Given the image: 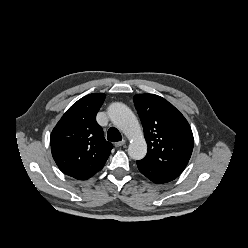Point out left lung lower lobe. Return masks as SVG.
Returning <instances> with one entry per match:
<instances>
[{
    "instance_id": "0a47b994",
    "label": "left lung lower lobe",
    "mask_w": 248,
    "mask_h": 248,
    "mask_svg": "<svg viewBox=\"0 0 248 248\" xmlns=\"http://www.w3.org/2000/svg\"><path fill=\"white\" fill-rule=\"evenodd\" d=\"M139 171L152 182L162 184L177 178L180 173L153 166L143 160L137 161Z\"/></svg>"
}]
</instances>
